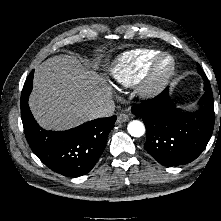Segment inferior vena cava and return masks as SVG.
I'll return each instance as SVG.
<instances>
[{
  "label": "inferior vena cava",
  "instance_id": "602c4592",
  "mask_svg": "<svg viewBox=\"0 0 221 221\" xmlns=\"http://www.w3.org/2000/svg\"><path fill=\"white\" fill-rule=\"evenodd\" d=\"M115 110V104L112 100H108L97 106L91 113L92 119L112 116Z\"/></svg>",
  "mask_w": 221,
  "mask_h": 221
}]
</instances>
